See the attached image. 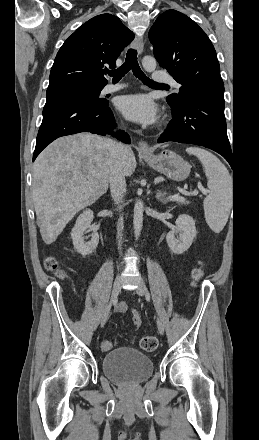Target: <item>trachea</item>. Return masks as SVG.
I'll list each match as a JSON object with an SVG mask.
<instances>
[{
	"instance_id": "trachea-1",
	"label": "trachea",
	"mask_w": 259,
	"mask_h": 440,
	"mask_svg": "<svg viewBox=\"0 0 259 440\" xmlns=\"http://www.w3.org/2000/svg\"><path fill=\"white\" fill-rule=\"evenodd\" d=\"M132 70L133 74L147 85L167 86L165 84H159L150 80L141 70L137 61V50L129 49L126 55V60L122 66L115 70L108 71V75L113 77V81L117 82L121 80L126 73Z\"/></svg>"
}]
</instances>
